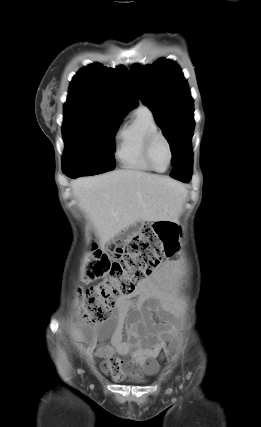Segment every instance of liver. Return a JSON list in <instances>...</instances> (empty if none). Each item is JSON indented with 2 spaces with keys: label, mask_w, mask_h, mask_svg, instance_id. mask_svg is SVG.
<instances>
[{
  "label": "liver",
  "mask_w": 261,
  "mask_h": 427,
  "mask_svg": "<svg viewBox=\"0 0 261 427\" xmlns=\"http://www.w3.org/2000/svg\"><path fill=\"white\" fill-rule=\"evenodd\" d=\"M101 244L139 221H175L187 190L179 182L136 170H116L71 183Z\"/></svg>",
  "instance_id": "liver-1"
}]
</instances>
